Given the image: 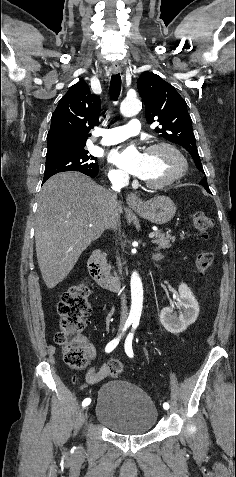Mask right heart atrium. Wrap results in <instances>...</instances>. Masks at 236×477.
<instances>
[{
  "label": "right heart atrium",
  "instance_id": "obj_1",
  "mask_svg": "<svg viewBox=\"0 0 236 477\" xmlns=\"http://www.w3.org/2000/svg\"><path fill=\"white\" fill-rule=\"evenodd\" d=\"M108 176L113 182H120L126 179V175L123 171L114 168L110 169Z\"/></svg>",
  "mask_w": 236,
  "mask_h": 477
}]
</instances>
